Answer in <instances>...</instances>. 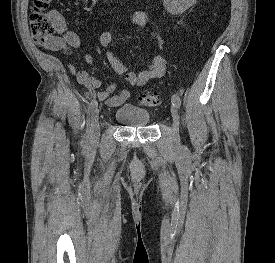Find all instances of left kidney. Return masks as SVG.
I'll return each mask as SVG.
<instances>
[{
  "mask_svg": "<svg viewBox=\"0 0 275 263\" xmlns=\"http://www.w3.org/2000/svg\"><path fill=\"white\" fill-rule=\"evenodd\" d=\"M196 0H163L167 11L173 15H179L191 7Z\"/></svg>",
  "mask_w": 275,
  "mask_h": 263,
  "instance_id": "5707ae66",
  "label": "left kidney"
}]
</instances>
